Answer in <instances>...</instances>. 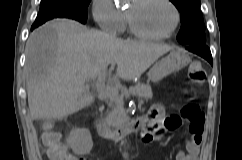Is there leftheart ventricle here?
Listing matches in <instances>:
<instances>
[{
	"mask_svg": "<svg viewBox=\"0 0 242 160\" xmlns=\"http://www.w3.org/2000/svg\"><path fill=\"white\" fill-rule=\"evenodd\" d=\"M126 12L138 28L148 34H164L175 22V13L164 0H133Z\"/></svg>",
	"mask_w": 242,
	"mask_h": 160,
	"instance_id": "obj_1",
	"label": "left heart ventricle"
}]
</instances>
